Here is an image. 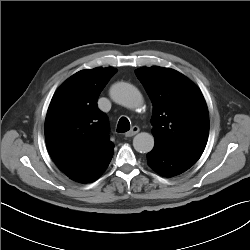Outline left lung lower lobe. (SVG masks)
I'll return each mask as SVG.
<instances>
[{
  "mask_svg": "<svg viewBox=\"0 0 250 250\" xmlns=\"http://www.w3.org/2000/svg\"><path fill=\"white\" fill-rule=\"evenodd\" d=\"M201 154L171 151L154 146L147 154L148 165L162 176L178 175L194 165Z\"/></svg>",
  "mask_w": 250,
  "mask_h": 250,
  "instance_id": "1",
  "label": "left lung lower lobe"
}]
</instances>
